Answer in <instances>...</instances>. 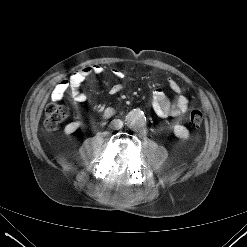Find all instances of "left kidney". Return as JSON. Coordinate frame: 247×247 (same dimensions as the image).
<instances>
[{
	"instance_id": "5707ae66",
	"label": "left kidney",
	"mask_w": 247,
	"mask_h": 247,
	"mask_svg": "<svg viewBox=\"0 0 247 247\" xmlns=\"http://www.w3.org/2000/svg\"><path fill=\"white\" fill-rule=\"evenodd\" d=\"M174 134L182 139H186L189 137V131L186 127L182 125H175L174 126Z\"/></svg>"
}]
</instances>
